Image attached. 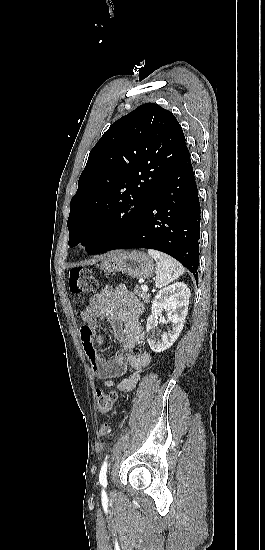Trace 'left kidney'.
Wrapping results in <instances>:
<instances>
[{"label": "left kidney", "instance_id": "left-kidney-1", "mask_svg": "<svg viewBox=\"0 0 265 550\" xmlns=\"http://www.w3.org/2000/svg\"><path fill=\"white\" fill-rule=\"evenodd\" d=\"M190 289L186 284L177 282L161 289L152 302V314L147 319L146 336L150 348L154 352H163L171 347L179 337L188 312ZM163 309H167V323H171L172 329L160 332L156 329L158 318Z\"/></svg>", "mask_w": 265, "mask_h": 550}]
</instances>
